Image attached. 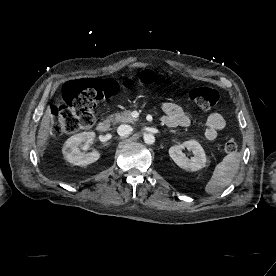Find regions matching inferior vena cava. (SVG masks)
Segmentation results:
<instances>
[{
	"instance_id": "inferior-vena-cava-1",
	"label": "inferior vena cava",
	"mask_w": 276,
	"mask_h": 276,
	"mask_svg": "<svg viewBox=\"0 0 276 276\" xmlns=\"http://www.w3.org/2000/svg\"><path fill=\"white\" fill-rule=\"evenodd\" d=\"M132 127L130 125H120L117 129V133L120 136H127L132 132Z\"/></svg>"
}]
</instances>
